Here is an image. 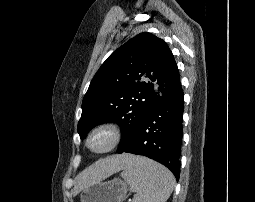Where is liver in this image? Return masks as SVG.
I'll return each mask as SVG.
<instances>
[{
    "mask_svg": "<svg viewBox=\"0 0 255 202\" xmlns=\"http://www.w3.org/2000/svg\"><path fill=\"white\" fill-rule=\"evenodd\" d=\"M134 157L135 156L130 154H121L101 159L77 176L74 186V193H79L85 187L118 172L128 163H130Z\"/></svg>",
    "mask_w": 255,
    "mask_h": 202,
    "instance_id": "liver-1",
    "label": "liver"
}]
</instances>
